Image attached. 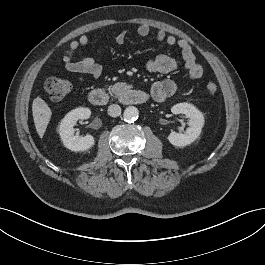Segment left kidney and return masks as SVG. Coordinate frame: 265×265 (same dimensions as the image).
Wrapping results in <instances>:
<instances>
[{"instance_id": "1", "label": "left kidney", "mask_w": 265, "mask_h": 265, "mask_svg": "<svg viewBox=\"0 0 265 265\" xmlns=\"http://www.w3.org/2000/svg\"><path fill=\"white\" fill-rule=\"evenodd\" d=\"M173 114H184L189 120V127L184 133L171 132L169 142L176 147H184L194 142L200 135L204 125L202 113L192 104L179 103L171 108Z\"/></svg>"}]
</instances>
